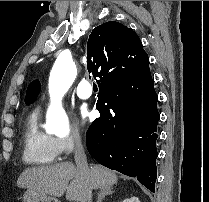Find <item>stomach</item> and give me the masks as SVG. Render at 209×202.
<instances>
[{
	"mask_svg": "<svg viewBox=\"0 0 209 202\" xmlns=\"http://www.w3.org/2000/svg\"><path fill=\"white\" fill-rule=\"evenodd\" d=\"M23 202H59V200L40 191L27 189L23 195Z\"/></svg>",
	"mask_w": 209,
	"mask_h": 202,
	"instance_id": "stomach-1",
	"label": "stomach"
}]
</instances>
